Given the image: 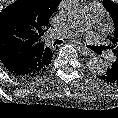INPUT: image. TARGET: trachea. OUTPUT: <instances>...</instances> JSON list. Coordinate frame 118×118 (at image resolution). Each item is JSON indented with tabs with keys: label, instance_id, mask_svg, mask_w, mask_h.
<instances>
[{
	"label": "trachea",
	"instance_id": "obj_1",
	"mask_svg": "<svg viewBox=\"0 0 118 118\" xmlns=\"http://www.w3.org/2000/svg\"><path fill=\"white\" fill-rule=\"evenodd\" d=\"M62 42H63L62 40H56V41L54 42V45L61 44Z\"/></svg>",
	"mask_w": 118,
	"mask_h": 118
}]
</instances>
